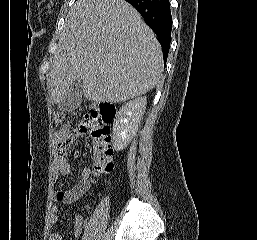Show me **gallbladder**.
I'll list each match as a JSON object with an SVG mask.
<instances>
[{
  "label": "gallbladder",
  "mask_w": 257,
  "mask_h": 240,
  "mask_svg": "<svg viewBox=\"0 0 257 240\" xmlns=\"http://www.w3.org/2000/svg\"><path fill=\"white\" fill-rule=\"evenodd\" d=\"M83 88L81 80H76L70 86L67 97L58 104V109L63 112L75 110L82 101Z\"/></svg>",
  "instance_id": "1"
}]
</instances>
